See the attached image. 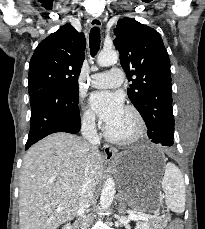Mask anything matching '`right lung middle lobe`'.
I'll use <instances>...</instances> for the list:
<instances>
[{"instance_id":"1","label":"right lung middle lobe","mask_w":205,"mask_h":229,"mask_svg":"<svg viewBox=\"0 0 205 229\" xmlns=\"http://www.w3.org/2000/svg\"><path fill=\"white\" fill-rule=\"evenodd\" d=\"M62 88L71 90L75 95H78V84H67Z\"/></svg>"}]
</instances>
